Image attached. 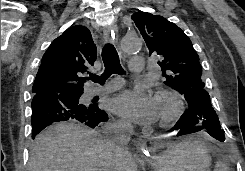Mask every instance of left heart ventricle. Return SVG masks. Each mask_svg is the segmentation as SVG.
Returning a JSON list of instances; mask_svg holds the SVG:
<instances>
[{
  "label": "left heart ventricle",
  "instance_id": "left-heart-ventricle-1",
  "mask_svg": "<svg viewBox=\"0 0 245 171\" xmlns=\"http://www.w3.org/2000/svg\"><path fill=\"white\" fill-rule=\"evenodd\" d=\"M157 99V104L159 108V117L163 115L164 112H166L168 108V103L162 99L156 98Z\"/></svg>",
  "mask_w": 245,
  "mask_h": 171
}]
</instances>
